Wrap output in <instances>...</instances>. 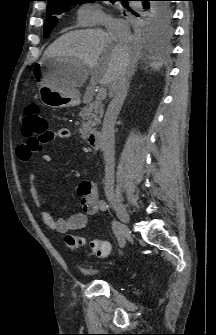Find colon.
I'll return each mask as SVG.
<instances>
[{
	"instance_id": "1",
	"label": "colon",
	"mask_w": 216,
	"mask_h": 335,
	"mask_svg": "<svg viewBox=\"0 0 216 335\" xmlns=\"http://www.w3.org/2000/svg\"><path fill=\"white\" fill-rule=\"evenodd\" d=\"M22 133L28 138V145L33 152L40 151L51 134L48 121L40 115L39 108L34 103L29 104L24 110ZM65 242L72 250H80L85 244L84 238L75 234L66 235ZM90 247L97 257H105L110 253L109 247L103 241L92 240Z\"/></svg>"
}]
</instances>
